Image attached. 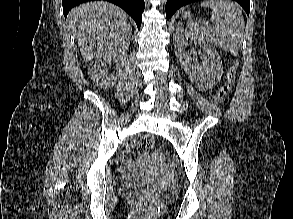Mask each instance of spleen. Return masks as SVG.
<instances>
[{
    "mask_svg": "<svg viewBox=\"0 0 293 219\" xmlns=\"http://www.w3.org/2000/svg\"><path fill=\"white\" fill-rule=\"evenodd\" d=\"M201 7L212 9L211 26L208 22L189 19L187 26L190 31L213 45L237 54L243 37L245 21L241 9L229 0H208Z\"/></svg>",
    "mask_w": 293,
    "mask_h": 219,
    "instance_id": "3e777b00",
    "label": "spleen"
}]
</instances>
